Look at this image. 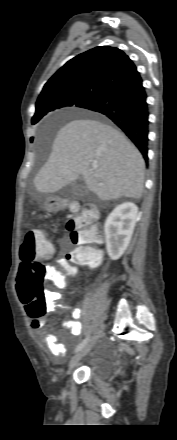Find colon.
<instances>
[{
  "label": "colon",
  "mask_w": 177,
  "mask_h": 440,
  "mask_svg": "<svg viewBox=\"0 0 177 440\" xmlns=\"http://www.w3.org/2000/svg\"><path fill=\"white\" fill-rule=\"evenodd\" d=\"M73 215L67 223L70 240L75 249L67 254L68 261L57 270L62 279L76 273V266L97 267L102 259V252L93 246L104 238L99 225L94 224L97 212L93 208H85L78 212V206H71ZM52 252V242L41 229L29 230L20 247L22 265L18 276V294L32 317H41L47 310L45 283L52 280V265L42 259ZM54 282V281H53ZM57 284V283H56Z\"/></svg>",
  "instance_id": "5ec220e1"
}]
</instances>
